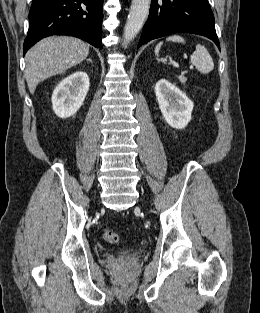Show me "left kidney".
<instances>
[{"instance_id":"1","label":"left kidney","mask_w":260,"mask_h":313,"mask_svg":"<svg viewBox=\"0 0 260 313\" xmlns=\"http://www.w3.org/2000/svg\"><path fill=\"white\" fill-rule=\"evenodd\" d=\"M155 94L165 121L172 128H185L191 120L194 107L186 94L166 79H160L156 83Z\"/></svg>"}]
</instances>
